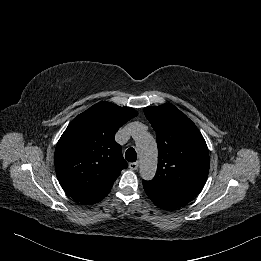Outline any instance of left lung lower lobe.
I'll return each instance as SVG.
<instances>
[{
	"mask_svg": "<svg viewBox=\"0 0 261 261\" xmlns=\"http://www.w3.org/2000/svg\"><path fill=\"white\" fill-rule=\"evenodd\" d=\"M152 202L161 209H176L188 204L195 196L173 189H165L143 181Z\"/></svg>",
	"mask_w": 261,
	"mask_h": 261,
	"instance_id": "1",
	"label": "left lung lower lobe"
}]
</instances>
